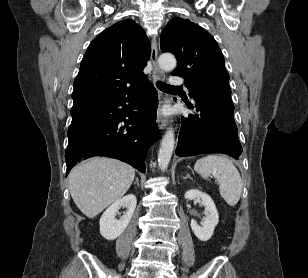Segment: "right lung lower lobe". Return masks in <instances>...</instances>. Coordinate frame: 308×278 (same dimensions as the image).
I'll list each match as a JSON object with an SVG mask.
<instances>
[{
  "label": "right lung lower lobe",
  "instance_id": "obj_1",
  "mask_svg": "<svg viewBox=\"0 0 308 278\" xmlns=\"http://www.w3.org/2000/svg\"><path fill=\"white\" fill-rule=\"evenodd\" d=\"M157 103V91L147 80L126 97L71 114L66 176L77 162L92 156L119 159L144 173L146 151L160 137Z\"/></svg>",
  "mask_w": 308,
  "mask_h": 278
}]
</instances>
